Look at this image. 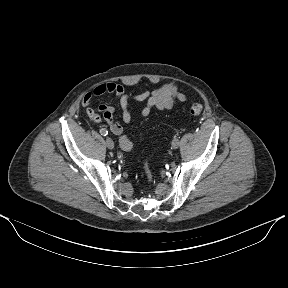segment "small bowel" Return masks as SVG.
Instances as JSON below:
<instances>
[{
	"mask_svg": "<svg viewBox=\"0 0 288 288\" xmlns=\"http://www.w3.org/2000/svg\"><path fill=\"white\" fill-rule=\"evenodd\" d=\"M106 93L114 94L119 102L121 109L122 120L126 124L133 122V116L129 110V103L131 100L136 102H145V106L140 112L141 118H147L153 109L165 111L173 108L176 104L186 101L185 91L175 82H167L162 86L152 90L140 93L127 92L124 85L116 82H107L100 84L94 88L92 92L84 95L82 100L83 107H89L92 97H99ZM90 110V109H88ZM98 111L102 113L103 118L108 123L111 132L120 139L126 137L124 128L114 118L116 112L113 106L100 105Z\"/></svg>",
	"mask_w": 288,
	"mask_h": 288,
	"instance_id": "1",
	"label": "small bowel"
}]
</instances>
